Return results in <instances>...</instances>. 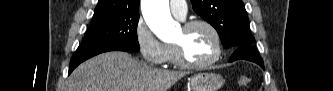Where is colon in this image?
<instances>
[{"label": "colon", "mask_w": 333, "mask_h": 91, "mask_svg": "<svg viewBox=\"0 0 333 91\" xmlns=\"http://www.w3.org/2000/svg\"><path fill=\"white\" fill-rule=\"evenodd\" d=\"M251 83V79L248 75H242L238 79V84L240 87H247Z\"/></svg>", "instance_id": "colon-1"}]
</instances>
